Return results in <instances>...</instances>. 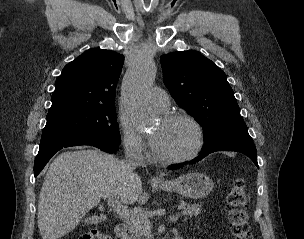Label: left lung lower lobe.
<instances>
[{"label":"left lung lower lobe","instance_id":"obj_1","mask_svg":"<svg viewBox=\"0 0 304 239\" xmlns=\"http://www.w3.org/2000/svg\"><path fill=\"white\" fill-rule=\"evenodd\" d=\"M236 151V152H240L245 154L246 156H248L254 163L255 165L258 167V163H257V151L255 148V145L253 142H232V143H227L221 146H217V147H211L208 149H203L200 153V155L188 162V163H194L197 162L199 160H201L202 158H204L205 156H207L208 154L215 152V151ZM184 164H178V165H173L171 166V170L173 169H177L181 166H183ZM259 168V167H258Z\"/></svg>","mask_w":304,"mask_h":239}]
</instances>
